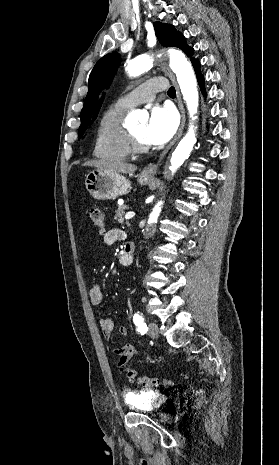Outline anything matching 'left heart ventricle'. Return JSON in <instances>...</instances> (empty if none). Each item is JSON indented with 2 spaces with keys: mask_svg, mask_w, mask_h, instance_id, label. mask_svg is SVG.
I'll list each match as a JSON object with an SVG mask.
<instances>
[{
  "mask_svg": "<svg viewBox=\"0 0 279 465\" xmlns=\"http://www.w3.org/2000/svg\"><path fill=\"white\" fill-rule=\"evenodd\" d=\"M145 127H146V124L141 123L139 125H136V126L132 127L131 131L134 133V135L138 138V140L141 143L147 145V142H146L145 137H144Z\"/></svg>",
  "mask_w": 279,
  "mask_h": 465,
  "instance_id": "obj_1",
  "label": "left heart ventricle"
}]
</instances>
